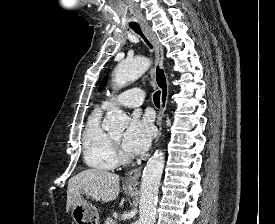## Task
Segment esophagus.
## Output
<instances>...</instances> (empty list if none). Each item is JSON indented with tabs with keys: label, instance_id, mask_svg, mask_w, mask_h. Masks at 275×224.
Instances as JSON below:
<instances>
[{
	"label": "esophagus",
	"instance_id": "obj_1",
	"mask_svg": "<svg viewBox=\"0 0 275 224\" xmlns=\"http://www.w3.org/2000/svg\"><path fill=\"white\" fill-rule=\"evenodd\" d=\"M141 28L143 30L144 35L146 36V38L154 48L155 57H156L155 67H154V76H155L156 84L161 92L160 110L156 121L157 127H158V134L155 139V143H156L161 135L162 120H163L164 112L167 106L168 95H169V84H168V79L163 66V61H164L163 47L160 44L156 34L151 30V28L149 27L146 21L141 22ZM141 170H142V167L135 168L127 174L124 182L126 187L128 188L137 187L138 179L141 175Z\"/></svg>",
	"mask_w": 275,
	"mask_h": 224
}]
</instances>
